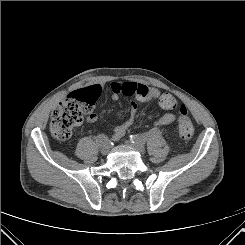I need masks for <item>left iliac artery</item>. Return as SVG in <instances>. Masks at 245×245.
Instances as JSON below:
<instances>
[{"instance_id": "44dca946", "label": "left iliac artery", "mask_w": 245, "mask_h": 245, "mask_svg": "<svg viewBox=\"0 0 245 245\" xmlns=\"http://www.w3.org/2000/svg\"><path fill=\"white\" fill-rule=\"evenodd\" d=\"M158 134H159V130H157V129H153L149 133L150 136H157ZM130 139H131V141H134L136 143L143 144L146 141L147 138L145 136H143V135H131Z\"/></svg>"}]
</instances>
